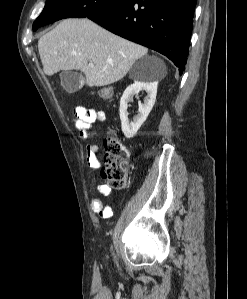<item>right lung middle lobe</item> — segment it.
<instances>
[{"instance_id":"dd1d6c3e","label":"right lung middle lobe","mask_w":247,"mask_h":299,"mask_svg":"<svg viewBox=\"0 0 247 299\" xmlns=\"http://www.w3.org/2000/svg\"><path fill=\"white\" fill-rule=\"evenodd\" d=\"M126 0H47L40 16L33 23V30L54 21L70 17H90L108 11Z\"/></svg>"}]
</instances>
